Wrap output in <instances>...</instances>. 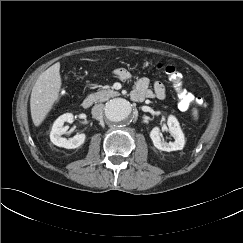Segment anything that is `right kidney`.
Instances as JSON below:
<instances>
[{
	"instance_id": "right-kidney-1",
	"label": "right kidney",
	"mask_w": 243,
	"mask_h": 243,
	"mask_svg": "<svg viewBox=\"0 0 243 243\" xmlns=\"http://www.w3.org/2000/svg\"><path fill=\"white\" fill-rule=\"evenodd\" d=\"M73 121L74 116L72 113L63 114L56 119L50 133V139L54 145L66 149H75L84 143L86 138V135L84 133L76 134L74 137L69 139L62 137V135L65 134L68 130L67 126H63L64 122L72 123Z\"/></svg>"
}]
</instances>
